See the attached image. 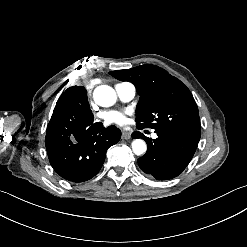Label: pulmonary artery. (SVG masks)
I'll list each match as a JSON object with an SVG mask.
<instances>
[{"label": "pulmonary artery", "mask_w": 247, "mask_h": 247, "mask_svg": "<svg viewBox=\"0 0 247 247\" xmlns=\"http://www.w3.org/2000/svg\"><path fill=\"white\" fill-rule=\"evenodd\" d=\"M115 89H116L119 99L124 102H128L132 100L136 95V87L132 83H129V82L118 83L115 85ZM152 136L154 138L157 137L156 134H153Z\"/></svg>", "instance_id": "1"}]
</instances>
